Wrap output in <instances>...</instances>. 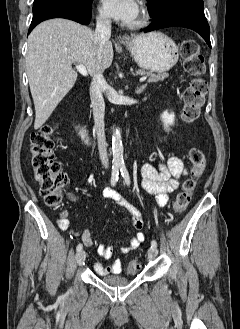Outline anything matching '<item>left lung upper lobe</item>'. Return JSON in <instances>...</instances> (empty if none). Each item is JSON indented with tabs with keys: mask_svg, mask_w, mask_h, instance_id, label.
<instances>
[{
	"mask_svg": "<svg viewBox=\"0 0 240 329\" xmlns=\"http://www.w3.org/2000/svg\"><path fill=\"white\" fill-rule=\"evenodd\" d=\"M148 12L152 18H156L166 9L177 4H195L203 6V0H147Z\"/></svg>",
	"mask_w": 240,
	"mask_h": 329,
	"instance_id": "5c2ea615",
	"label": "left lung upper lobe"
}]
</instances>
